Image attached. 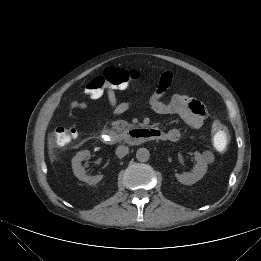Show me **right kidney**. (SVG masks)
<instances>
[{
	"label": "right kidney",
	"mask_w": 261,
	"mask_h": 261,
	"mask_svg": "<svg viewBox=\"0 0 261 261\" xmlns=\"http://www.w3.org/2000/svg\"><path fill=\"white\" fill-rule=\"evenodd\" d=\"M90 152L88 150L78 152L72 159V169L74 175L81 181L88 184H97L103 179V175L88 176L85 174V168L82 166L81 162L84 158L88 157Z\"/></svg>",
	"instance_id": "right-kidney-1"
}]
</instances>
